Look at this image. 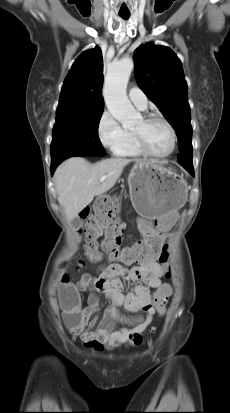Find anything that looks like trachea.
<instances>
[{"label": "trachea", "instance_id": "trachea-1", "mask_svg": "<svg viewBox=\"0 0 230 413\" xmlns=\"http://www.w3.org/2000/svg\"><path fill=\"white\" fill-rule=\"evenodd\" d=\"M119 16L122 17L123 19H128L130 16V13H119Z\"/></svg>", "mask_w": 230, "mask_h": 413}]
</instances>
